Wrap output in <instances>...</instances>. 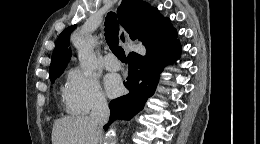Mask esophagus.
<instances>
[{
	"instance_id": "1",
	"label": "esophagus",
	"mask_w": 260,
	"mask_h": 144,
	"mask_svg": "<svg viewBox=\"0 0 260 144\" xmlns=\"http://www.w3.org/2000/svg\"><path fill=\"white\" fill-rule=\"evenodd\" d=\"M119 39L121 41V44L125 45L127 37H126V32L123 28H121V30H120Z\"/></svg>"
}]
</instances>
